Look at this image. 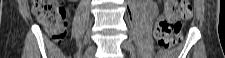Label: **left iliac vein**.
Segmentation results:
<instances>
[{"instance_id": "obj_1", "label": "left iliac vein", "mask_w": 225, "mask_h": 58, "mask_svg": "<svg viewBox=\"0 0 225 58\" xmlns=\"http://www.w3.org/2000/svg\"><path fill=\"white\" fill-rule=\"evenodd\" d=\"M122 47L131 52L133 55H135V49H134V46L133 44L129 41V40H125L122 42Z\"/></svg>"}]
</instances>
